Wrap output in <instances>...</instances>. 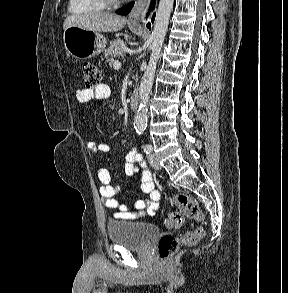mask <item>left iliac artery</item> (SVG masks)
<instances>
[{
	"instance_id": "left-iliac-artery-1",
	"label": "left iliac artery",
	"mask_w": 288,
	"mask_h": 293,
	"mask_svg": "<svg viewBox=\"0 0 288 293\" xmlns=\"http://www.w3.org/2000/svg\"><path fill=\"white\" fill-rule=\"evenodd\" d=\"M137 132H138V134H142L141 130H137ZM143 150H144L145 153L148 154V153L152 152V146L150 144H145L143 146Z\"/></svg>"
}]
</instances>
